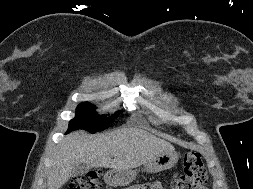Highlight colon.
Segmentation results:
<instances>
[{
	"label": "colon",
	"mask_w": 253,
	"mask_h": 189,
	"mask_svg": "<svg viewBox=\"0 0 253 189\" xmlns=\"http://www.w3.org/2000/svg\"><path fill=\"white\" fill-rule=\"evenodd\" d=\"M101 171L91 170L74 177L69 189H102L100 183ZM207 181V172L202 156L197 151L187 152L183 160V173L174 178L172 189H202Z\"/></svg>",
	"instance_id": "colon-1"
}]
</instances>
